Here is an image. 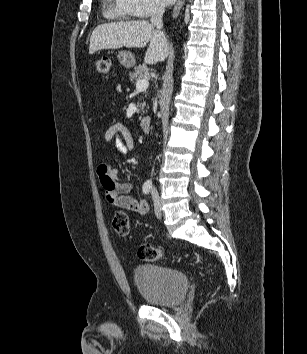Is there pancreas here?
<instances>
[{"instance_id": "pancreas-1", "label": "pancreas", "mask_w": 307, "mask_h": 354, "mask_svg": "<svg viewBox=\"0 0 307 354\" xmlns=\"http://www.w3.org/2000/svg\"><path fill=\"white\" fill-rule=\"evenodd\" d=\"M142 79H149V69L145 65H140L134 68V72L130 74V81H138ZM146 103L143 102L140 110H143Z\"/></svg>"}]
</instances>
